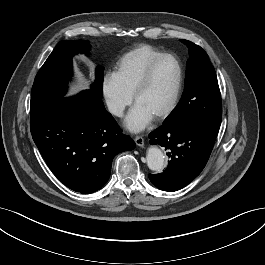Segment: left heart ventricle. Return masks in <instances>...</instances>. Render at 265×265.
Wrapping results in <instances>:
<instances>
[{
	"label": "left heart ventricle",
	"instance_id": "b2bd125f",
	"mask_svg": "<svg viewBox=\"0 0 265 265\" xmlns=\"http://www.w3.org/2000/svg\"><path fill=\"white\" fill-rule=\"evenodd\" d=\"M177 81L174 60L166 58L155 67L146 88L138 95L135 104L153 117L171 101Z\"/></svg>",
	"mask_w": 265,
	"mask_h": 265
}]
</instances>
